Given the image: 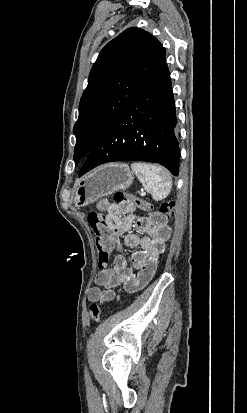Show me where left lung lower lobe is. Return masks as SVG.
<instances>
[{"mask_svg":"<svg viewBox=\"0 0 247 413\" xmlns=\"http://www.w3.org/2000/svg\"><path fill=\"white\" fill-rule=\"evenodd\" d=\"M171 79L166 61L112 122L79 176L113 161L159 163L178 176L179 143Z\"/></svg>","mask_w":247,"mask_h":413,"instance_id":"1","label":"left lung lower lobe"}]
</instances>
